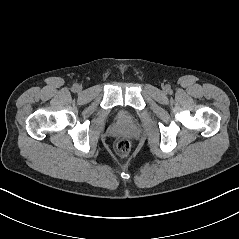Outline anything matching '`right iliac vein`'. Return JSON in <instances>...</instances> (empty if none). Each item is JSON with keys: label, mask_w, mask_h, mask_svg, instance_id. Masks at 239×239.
<instances>
[{"label": "right iliac vein", "mask_w": 239, "mask_h": 239, "mask_svg": "<svg viewBox=\"0 0 239 239\" xmlns=\"http://www.w3.org/2000/svg\"><path fill=\"white\" fill-rule=\"evenodd\" d=\"M81 89H82V88H81L80 86H78L77 90H78V91H81Z\"/></svg>", "instance_id": "right-iliac-vein-1"}]
</instances>
